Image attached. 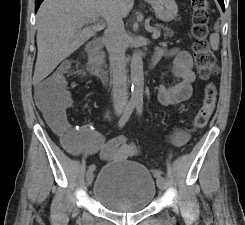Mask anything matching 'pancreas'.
I'll use <instances>...</instances> for the list:
<instances>
[{
  "instance_id": "pancreas-1",
  "label": "pancreas",
  "mask_w": 245,
  "mask_h": 225,
  "mask_svg": "<svg viewBox=\"0 0 245 225\" xmlns=\"http://www.w3.org/2000/svg\"><path fill=\"white\" fill-rule=\"evenodd\" d=\"M157 28L158 29H163L165 31V33H164V36L165 37H168V36L169 37H172L173 34H174V32L173 31H170V29L168 27H164L162 25H157Z\"/></svg>"
}]
</instances>
